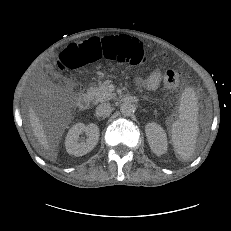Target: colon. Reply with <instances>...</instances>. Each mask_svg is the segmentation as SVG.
<instances>
[{"label": "colon", "mask_w": 231, "mask_h": 231, "mask_svg": "<svg viewBox=\"0 0 231 231\" xmlns=\"http://www.w3.org/2000/svg\"><path fill=\"white\" fill-rule=\"evenodd\" d=\"M100 59L117 61L130 65H143L147 62L142 43L132 36L120 35L105 38H92L81 45L69 46L57 58L61 70H72ZM181 75L175 69L164 73V84L169 89L180 85Z\"/></svg>", "instance_id": "5ec220e1"}]
</instances>
